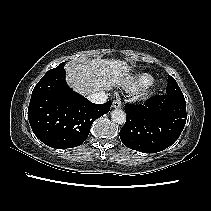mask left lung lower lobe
I'll return each mask as SVG.
<instances>
[{
	"instance_id": "0a47b994",
	"label": "left lung lower lobe",
	"mask_w": 211,
	"mask_h": 211,
	"mask_svg": "<svg viewBox=\"0 0 211 211\" xmlns=\"http://www.w3.org/2000/svg\"><path fill=\"white\" fill-rule=\"evenodd\" d=\"M125 112L127 118L120 139L126 147L143 153H156L171 146L187 118L182 93L157 96L143 105L127 104Z\"/></svg>"
}]
</instances>
